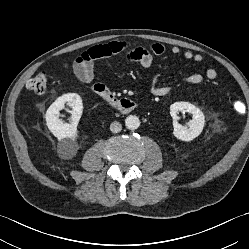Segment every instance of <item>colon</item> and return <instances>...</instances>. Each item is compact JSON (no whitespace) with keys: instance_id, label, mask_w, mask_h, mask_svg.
<instances>
[{"instance_id":"5ec220e1","label":"colon","mask_w":249,"mask_h":249,"mask_svg":"<svg viewBox=\"0 0 249 249\" xmlns=\"http://www.w3.org/2000/svg\"><path fill=\"white\" fill-rule=\"evenodd\" d=\"M48 80V73L46 71H41L28 81L27 88L29 91L36 94L45 93L48 88ZM232 107L234 112L237 114H243L245 111V104L242 100L239 99L233 102Z\"/></svg>"}]
</instances>
